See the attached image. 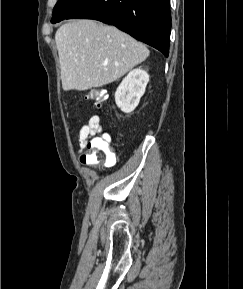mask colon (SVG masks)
Masks as SVG:
<instances>
[{
    "mask_svg": "<svg viewBox=\"0 0 243 289\" xmlns=\"http://www.w3.org/2000/svg\"><path fill=\"white\" fill-rule=\"evenodd\" d=\"M86 98L93 100L97 108L102 106L107 95L105 91L92 89L87 92ZM87 152L81 157V162L87 165L102 164L112 165L115 162V155L110 145V136L105 133L102 137L95 138L87 144Z\"/></svg>",
    "mask_w": 243,
    "mask_h": 289,
    "instance_id": "colon-1",
    "label": "colon"
}]
</instances>
